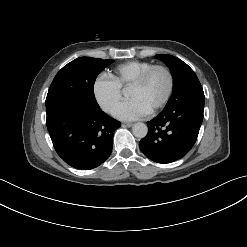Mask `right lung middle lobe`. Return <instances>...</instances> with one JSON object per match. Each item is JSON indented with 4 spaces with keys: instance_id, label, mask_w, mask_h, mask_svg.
Masks as SVG:
<instances>
[{
    "instance_id": "obj_1",
    "label": "right lung middle lobe",
    "mask_w": 247,
    "mask_h": 247,
    "mask_svg": "<svg viewBox=\"0 0 247 247\" xmlns=\"http://www.w3.org/2000/svg\"><path fill=\"white\" fill-rule=\"evenodd\" d=\"M113 62L111 59L80 57L65 65L50 85L46 107L63 100L99 106L94 96V83L98 74Z\"/></svg>"
}]
</instances>
